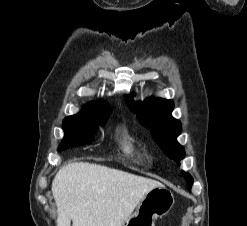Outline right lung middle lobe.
Instances as JSON below:
<instances>
[{
	"label": "right lung middle lobe",
	"mask_w": 247,
	"mask_h": 226,
	"mask_svg": "<svg viewBox=\"0 0 247 226\" xmlns=\"http://www.w3.org/2000/svg\"><path fill=\"white\" fill-rule=\"evenodd\" d=\"M98 118L92 103H88L78 114L66 117L63 123L65 136L58 151L91 143L95 128L94 121Z\"/></svg>",
	"instance_id": "dd1d6c3e"
}]
</instances>
